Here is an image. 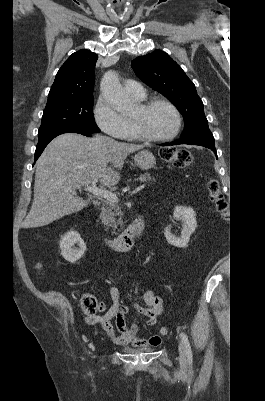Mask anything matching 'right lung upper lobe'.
Masks as SVG:
<instances>
[{
	"label": "right lung upper lobe",
	"mask_w": 265,
	"mask_h": 401,
	"mask_svg": "<svg viewBox=\"0 0 265 401\" xmlns=\"http://www.w3.org/2000/svg\"><path fill=\"white\" fill-rule=\"evenodd\" d=\"M97 58L95 53L88 50L73 53L59 69L50 89L47 105L91 96L94 89V67Z\"/></svg>",
	"instance_id": "1"
}]
</instances>
